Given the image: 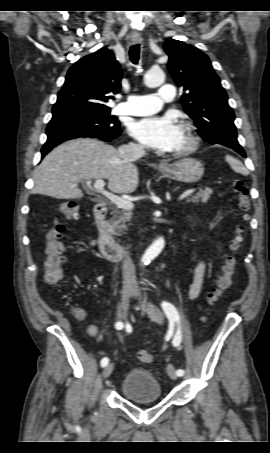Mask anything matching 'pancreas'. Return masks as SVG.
Returning a JSON list of instances; mask_svg holds the SVG:
<instances>
[{"label": "pancreas", "instance_id": "1", "mask_svg": "<svg viewBox=\"0 0 270 453\" xmlns=\"http://www.w3.org/2000/svg\"><path fill=\"white\" fill-rule=\"evenodd\" d=\"M213 191L210 188L201 190L199 193L187 198L186 202L207 203ZM114 217L109 220L108 226L113 235H121L127 229L126 222L131 220L132 213L130 211L115 210Z\"/></svg>", "mask_w": 270, "mask_h": 453}]
</instances>
